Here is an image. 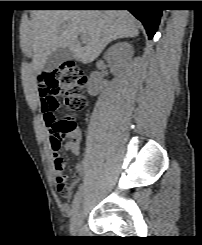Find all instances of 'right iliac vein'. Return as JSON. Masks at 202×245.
<instances>
[{
  "label": "right iliac vein",
  "instance_id": "obj_1",
  "mask_svg": "<svg viewBox=\"0 0 202 245\" xmlns=\"http://www.w3.org/2000/svg\"><path fill=\"white\" fill-rule=\"evenodd\" d=\"M83 216H84V210L82 208V206H77L74 211H73V215H72V218H71V232L73 234H77L78 231H79V227L82 223V219H83Z\"/></svg>",
  "mask_w": 202,
  "mask_h": 245
}]
</instances>
